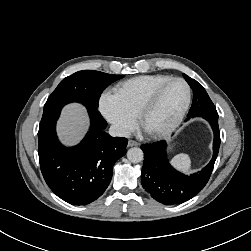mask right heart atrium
<instances>
[{"label": "right heart atrium", "mask_w": 251, "mask_h": 251, "mask_svg": "<svg viewBox=\"0 0 251 251\" xmlns=\"http://www.w3.org/2000/svg\"><path fill=\"white\" fill-rule=\"evenodd\" d=\"M101 115L121 135L129 134L136 126V116L130 112L115 93L104 91L98 101Z\"/></svg>", "instance_id": "d8ad5b80"}]
</instances>
